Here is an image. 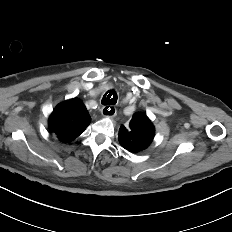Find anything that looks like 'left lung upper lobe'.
<instances>
[{"label": "left lung upper lobe", "instance_id": "5c2ea615", "mask_svg": "<svg viewBox=\"0 0 232 232\" xmlns=\"http://www.w3.org/2000/svg\"><path fill=\"white\" fill-rule=\"evenodd\" d=\"M155 128L145 113H135L127 129L121 125L119 130L120 145L132 153L145 150L153 141Z\"/></svg>", "mask_w": 232, "mask_h": 232}]
</instances>
